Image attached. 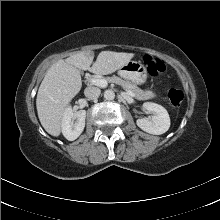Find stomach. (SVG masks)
I'll return each instance as SVG.
<instances>
[{
    "instance_id": "obj_1",
    "label": "stomach",
    "mask_w": 220,
    "mask_h": 220,
    "mask_svg": "<svg viewBox=\"0 0 220 220\" xmlns=\"http://www.w3.org/2000/svg\"><path fill=\"white\" fill-rule=\"evenodd\" d=\"M119 75L137 85L144 84L147 80V70L141 61H129L120 68Z\"/></svg>"
}]
</instances>
